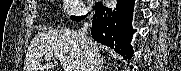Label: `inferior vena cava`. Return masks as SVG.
<instances>
[{
  "mask_svg": "<svg viewBox=\"0 0 181 71\" xmlns=\"http://www.w3.org/2000/svg\"><path fill=\"white\" fill-rule=\"evenodd\" d=\"M90 28L91 17H88L87 20H84L83 26L78 32L81 39V44L84 47L86 54L85 69L83 71H100L101 59L97 45L87 35Z\"/></svg>",
  "mask_w": 181,
  "mask_h": 71,
  "instance_id": "1",
  "label": "inferior vena cava"
}]
</instances>
